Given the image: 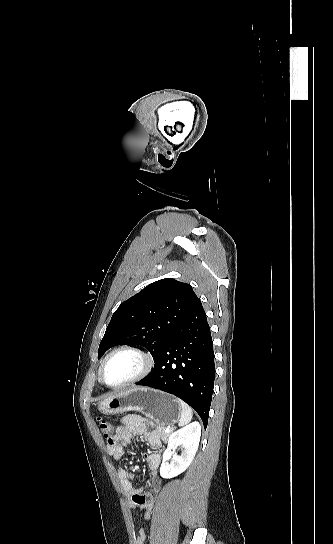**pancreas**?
<instances>
[{
	"label": "pancreas",
	"instance_id": "obj_1",
	"mask_svg": "<svg viewBox=\"0 0 333 544\" xmlns=\"http://www.w3.org/2000/svg\"><path fill=\"white\" fill-rule=\"evenodd\" d=\"M155 431L159 434L164 442L168 440L170 433L165 432V426H158Z\"/></svg>",
	"mask_w": 333,
	"mask_h": 544
}]
</instances>
